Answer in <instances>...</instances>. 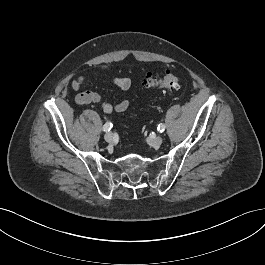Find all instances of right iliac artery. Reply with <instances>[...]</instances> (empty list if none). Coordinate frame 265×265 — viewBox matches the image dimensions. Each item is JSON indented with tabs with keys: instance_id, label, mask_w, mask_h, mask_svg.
Listing matches in <instances>:
<instances>
[{
	"instance_id": "82829eb1",
	"label": "right iliac artery",
	"mask_w": 265,
	"mask_h": 265,
	"mask_svg": "<svg viewBox=\"0 0 265 265\" xmlns=\"http://www.w3.org/2000/svg\"><path fill=\"white\" fill-rule=\"evenodd\" d=\"M112 123L111 122H106L105 124H104V126H103V131L104 132H108V131H110V129L112 128Z\"/></svg>"
}]
</instances>
